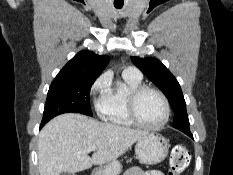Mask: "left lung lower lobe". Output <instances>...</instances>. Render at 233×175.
Returning <instances> with one entry per match:
<instances>
[{
	"instance_id": "left-lung-lower-lobe-1",
	"label": "left lung lower lobe",
	"mask_w": 233,
	"mask_h": 175,
	"mask_svg": "<svg viewBox=\"0 0 233 175\" xmlns=\"http://www.w3.org/2000/svg\"><path fill=\"white\" fill-rule=\"evenodd\" d=\"M188 136L193 137L191 133H190V134H188Z\"/></svg>"
}]
</instances>
